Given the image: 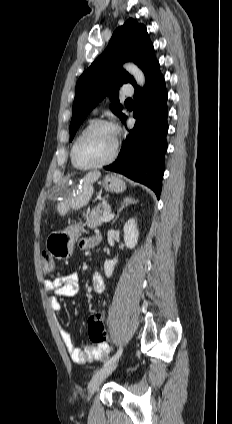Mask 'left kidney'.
<instances>
[{"label":"left kidney","mask_w":232,"mask_h":424,"mask_svg":"<svg viewBox=\"0 0 232 424\" xmlns=\"http://www.w3.org/2000/svg\"><path fill=\"white\" fill-rule=\"evenodd\" d=\"M124 242L125 245L129 249H133L138 242L139 237V231L137 229V224L135 222V219H130L128 222L125 223L124 228ZM118 261L116 259L114 260H106L104 262V271L105 275L107 277H111L114 271V267Z\"/></svg>","instance_id":"5707ae66"}]
</instances>
